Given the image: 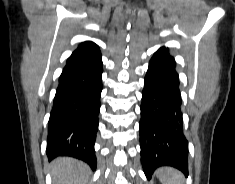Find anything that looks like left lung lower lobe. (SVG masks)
I'll list each match as a JSON object with an SVG mask.
<instances>
[{
	"label": "left lung lower lobe",
	"instance_id": "left-lung-lower-lobe-1",
	"mask_svg": "<svg viewBox=\"0 0 235 184\" xmlns=\"http://www.w3.org/2000/svg\"><path fill=\"white\" fill-rule=\"evenodd\" d=\"M176 63L161 47L149 62L142 92L141 163L148 179L161 166H172L188 176V141L183 134L181 95Z\"/></svg>",
	"mask_w": 235,
	"mask_h": 184
}]
</instances>
